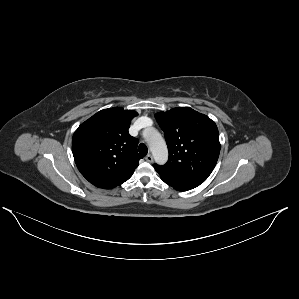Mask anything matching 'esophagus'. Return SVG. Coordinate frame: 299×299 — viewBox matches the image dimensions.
Wrapping results in <instances>:
<instances>
[{"label":"esophagus","mask_w":299,"mask_h":299,"mask_svg":"<svg viewBox=\"0 0 299 299\" xmlns=\"http://www.w3.org/2000/svg\"><path fill=\"white\" fill-rule=\"evenodd\" d=\"M146 161L151 163L153 162V156L151 154H148L146 157H145Z\"/></svg>","instance_id":"34e87169"}]
</instances>
